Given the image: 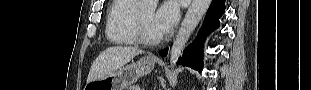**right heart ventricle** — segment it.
I'll list each match as a JSON object with an SVG mask.
<instances>
[{
  "label": "right heart ventricle",
  "instance_id": "obj_1",
  "mask_svg": "<svg viewBox=\"0 0 311 90\" xmlns=\"http://www.w3.org/2000/svg\"><path fill=\"white\" fill-rule=\"evenodd\" d=\"M136 0H115L109 8L105 34L108 40L118 45H136L134 19Z\"/></svg>",
  "mask_w": 311,
  "mask_h": 90
}]
</instances>
